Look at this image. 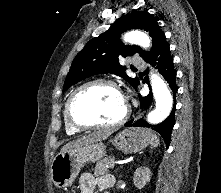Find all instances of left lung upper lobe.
Listing matches in <instances>:
<instances>
[{
	"label": "left lung upper lobe",
	"instance_id": "5c2ea615",
	"mask_svg": "<svg viewBox=\"0 0 221 193\" xmlns=\"http://www.w3.org/2000/svg\"><path fill=\"white\" fill-rule=\"evenodd\" d=\"M136 28L149 32L153 39L151 51L145 52L139 46L121 43L120 34ZM164 41H166L165 34L147 11H135L122 16L106 32L91 39L76 55L66 77L63 91L87 77L103 73L116 74L135 88L138 78L134 80L126 75L125 67L119 63V58L139 53L144 60H147Z\"/></svg>",
	"mask_w": 221,
	"mask_h": 193
}]
</instances>
